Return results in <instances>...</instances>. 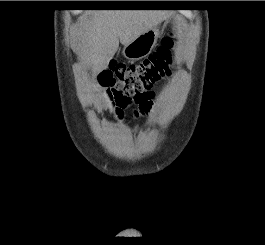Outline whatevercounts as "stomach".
Wrapping results in <instances>:
<instances>
[{
	"label": "stomach",
	"mask_w": 265,
	"mask_h": 245,
	"mask_svg": "<svg viewBox=\"0 0 265 245\" xmlns=\"http://www.w3.org/2000/svg\"><path fill=\"white\" fill-rule=\"evenodd\" d=\"M159 28L154 26L148 31L140 34L123 48V55L131 61L142 59L149 55L157 43Z\"/></svg>",
	"instance_id": "stomach-1"
}]
</instances>
